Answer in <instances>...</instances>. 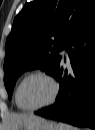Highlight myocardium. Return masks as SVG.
Returning <instances> with one entry per match:
<instances>
[{
	"mask_svg": "<svg viewBox=\"0 0 95 130\" xmlns=\"http://www.w3.org/2000/svg\"><path fill=\"white\" fill-rule=\"evenodd\" d=\"M35 76L44 77L51 83V85H52V95H51L50 99L47 102L43 103L42 105H39L37 107H26L21 103L20 91H21V88H22L23 84L28 79H30L32 77H35ZM58 93H59V84H58L57 80L50 73L42 71V70H37V71L29 73L28 75H26L21 80V82L19 83V85H18V87L16 89L15 101H16L18 107L21 108L22 110L33 112V111H37L39 109H42L44 107H47V106L51 105L56 100V98L58 96Z\"/></svg>",
	"mask_w": 95,
	"mask_h": 130,
	"instance_id": "f54148a6",
	"label": "myocardium"
}]
</instances>
